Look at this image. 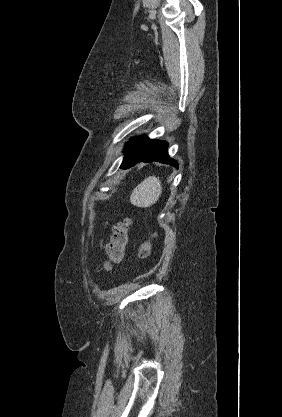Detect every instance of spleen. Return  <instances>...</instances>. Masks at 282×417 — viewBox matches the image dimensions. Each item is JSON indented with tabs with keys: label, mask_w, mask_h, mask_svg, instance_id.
I'll return each mask as SVG.
<instances>
[{
	"label": "spleen",
	"mask_w": 282,
	"mask_h": 417,
	"mask_svg": "<svg viewBox=\"0 0 282 417\" xmlns=\"http://www.w3.org/2000/svg\"><path fill=\"white\" fill-rule=\"evenodd\" d=\"M161 192L162 184L158 176H148L134 188L130 196V202L136 204V206H143V209H145V206H151L158 200Z\"/></svg>",
	"instance_id": "1"
}]
</instances>
